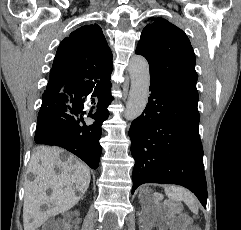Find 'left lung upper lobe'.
<instances>
[{
  "label": "left lung upper lobe",
  "mask_w": 241,
  "mask_h": 230,
  "mask_svg": "<svg viewBox=\"0 0 241 230\" xmlns=\"http://www.w3.org/2000/svg\"><path fill=\"white\" fill-rule=\"evenodd\" d=\"M136 53L147 59L151 78L198 93L193 48L186 34L172 23L153 18L141 33Z\"/></svg>",
  "instance_id": "5c2ea615"
}]
</instances>
